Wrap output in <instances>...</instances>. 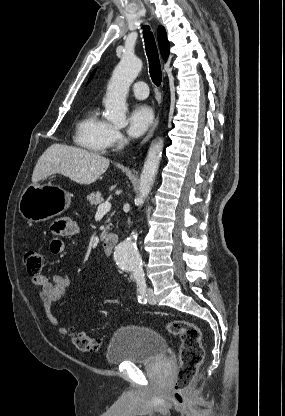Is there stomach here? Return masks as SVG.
Wrapping results in <instances>:
<instances>
[{
	"label": "stomach",
	"mask_w": 285,
	"mask_h": 416,
	"mask_svg": "<svg viewBox=\"0 0 285 416\" xmlns=\"http://www.w3.org/2000/svg\"><path fill=\"white\" fill-rule=\"evenodd\" d=\"M71 196L60 186L47 184H31L24 190L19 212L28 222H46L63 214L69 208Z\"/></svg>",
	"instance_id": "obj_1"
}]
</instances>
